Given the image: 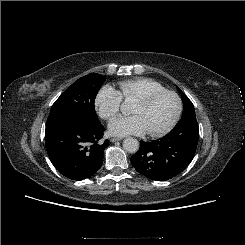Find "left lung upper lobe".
I'll return each instance as SVG.
<instances>
[{
	"label": "left lung upper lobe",
	"instance_id": "5c2ea615",
	"mask_svg": "<svg viewBox=\"0 0 245 245\" xmlns=\"http://www.w3.org/2000/svg\"><path fill=\"white\" fill-rule=\"evenodd\" d=\"M181 92L180 89H178ZM184 104L183 116L178 124L166 135V139L174 142H189L196 144L199 138V127L192 102L182 94Z\"/></svg>",
	"mask_w": 245,
	"mask_h": 245
}]
</instances>
